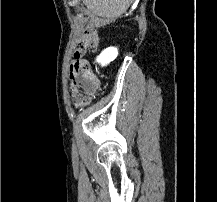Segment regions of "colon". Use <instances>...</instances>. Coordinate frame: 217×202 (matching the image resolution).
Masks as SVG:
<instances>
[{"mask_svg":"<svg viewBox=\"0 0 217 202\" xmlns=\"http://www.w3.org/2000/svg\"><path fill=\"white\" fill-rule=\"evenodd\" d=\"M97 36H80L77 46H89V42H95ZM85 49H73V54H85ZM70 64L74 67L68 71L70 76L71 91H77L74 99L75 103H89L91 98L95 97L96 91H100L97 81L88 70V59H83V55H73Z\"/></svg>","mask_w":217,"mask_h":202,"instance_id":"obj_1","label":"colon"}]
</instances>
